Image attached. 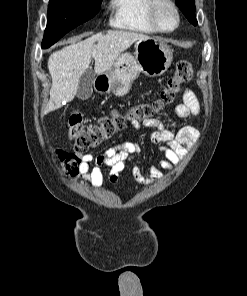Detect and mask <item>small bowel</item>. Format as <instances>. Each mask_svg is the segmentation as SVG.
Here are the masks:
<instances>
[{"mask_svg": "<svg viewBox=\"0 0 247 296\" xmlns=\"http://www.w3.org/2000/svg\"><path fill=\"white\" fill-rule=\"evenodd\" d=\"M183 103L178 104L173 111L176 118L186 120L200 113V103L196 94L186 89L183 94ZM135 131L143 126L150 128V140L162 154L157 165H150L148 175L145 176L140 166L133 168L134 180L141 185H149L163 175L162 169H174L186 155L187 149L199 139V131L192 126H183L177 130L168 128L158 119H148L143 122L132 121ZM141 153L139 143L126 142L119 146L109 148L102 154L94 157L91 154L80 155V165L76 173L78 178L87 180L94 187L104 183L102 167H109L108 180L115 184L118 182L120 172L127 164L132 162Z\"/></svg>", "mask_w": 247, "mask_h": 296, "instance_id": "obj_1", "label": "small bowel"}]
</instances>
